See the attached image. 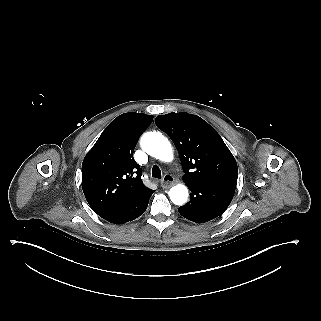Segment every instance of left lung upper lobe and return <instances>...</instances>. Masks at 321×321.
I'll use <instances>...</instances> for the list:
<instances>
[{
	"label": "left lung upper lobe",
	"instance_id": "left-lung-upper-lobe-1",
	"mask_svg": "<svg viewBox=\"0 0 321 321\" xmlns=\"http://www.w3.org/2000/svg\"><path fill=\"white\" fill-rule=\"evenodd\" d=\"M155 123L174 142L183 167V181L238 177L235 158L217 131L197 115H158Z\"/></svg>",
	"mask_w": 321,
	"mask_h": 321
}]
</instances>
